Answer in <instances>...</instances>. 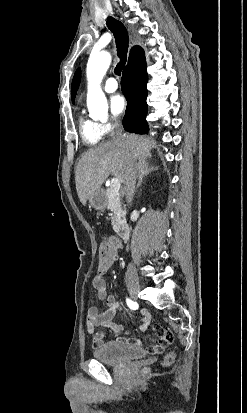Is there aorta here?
<instances>
[{"label":"aorta","mask_w":247,"mask_h":413,"mask_svg":"<svg viewBox=\"0 0 247 413\" xmlns=\"http://www.w3.org/2000/svg\"><path fill=\"white\" fill-rule=\"evenodd\" d=\"M111 63V55L108 52L91 53L87 63V107L93 119L107 117L108 104L100 84Z\"/></svg>","instance_id":"obj_1"}]
</instances>
